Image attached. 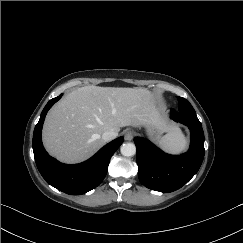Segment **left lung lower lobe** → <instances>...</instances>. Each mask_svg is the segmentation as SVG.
Masks as SVG:
<instances>
[{"mask_svg":"<svg viewBox=\"0 0 243 243\" xmlns=\"http://www.w3.org/2000/svg\"><path fill=\"white\" fill-rule=\"evenodd\" d=\"M171 118L189 127L191 144L182 155H169L144 138L136 137L138 177L149 189L172 192L186 184L204 158V133L197 116L171 109Z\"/></svg>","mask_w":243,"mask_h":243,"instance_id":"obj_1","label":"left lung lower lobe"}]
</instances>
